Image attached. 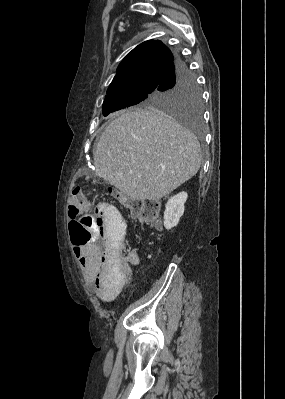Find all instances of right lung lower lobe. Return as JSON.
<instances>
[{"mask_svg": "<svg viewBox=\"0 0 285 399\" xmlns=\"http://www.w3.org/2000/svg\"><path fill=\"white\" fill-rule=\"evenodd\" d=\"M186 71H189L186 64L182 62L181 58L178 55L175 56V60L164 73L159 83V87L165 83H173L177 81L184 75Z\"/></svg>", "mask_w": 285, "mask_h": 399, "instance_id": "98d812e1", "label": "right lung lower lobe"}]
</instances>
